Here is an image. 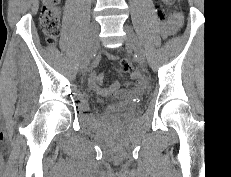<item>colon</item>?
I'll return each mask as SVG.
<instances>
[{"label":"colon","instance_id":"colon-1","mask_svg":"<svg viewBox=\"0 0 231 177\" xmlns=\"http://www.w3.org/2000/svg\"><path fill=\"white\" fill-rule=\"evenodd\" d=\"M172 3L176 0H165ZM60 0H42V10L40 16V27L46 37L48 43L52 44L56 41L60 27V12L58 5ZM161 21H165V16L162 11H159ZM176 21L179 19L176 17ZM119 67L124 72H130L133 69L131 61L127 58L119 60Z\"/></svg>","mask_w":231,"mask_h":177}]
</instances>
